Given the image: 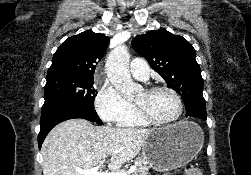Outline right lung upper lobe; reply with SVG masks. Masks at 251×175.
<instances>
[{
  "mask_svg": "<svg viewBox=\"0 0 251 175\" xmlns=\"http://www.w3.org/2000/svg\"><path fill=\"white\" fill-rule=\"evenodd\" d=\"M110 39L91 30L69 37L55 52L47 77H74L94 80L93 74L103 58Z\"/></svg>",
  "mask_w": 251,
  "mask_h": 175,
  "instance_id": "right-lung-upper-lobe-1",
  "label": "right lung upper lobe"
}]
</instances>
